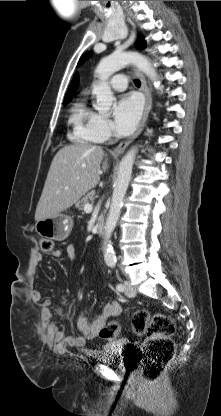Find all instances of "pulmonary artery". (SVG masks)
Segmentation results:
<instances>
[{
  "label": "pulmonary artery",
  "mask_w": 221,
  "mask_h": 416,
  "mask_svg": "<svg viewBox=\"0 0 221 416\" xmlns=\"http://www.w3.org/2000/svg\"><path fill=\"white\" fill-rule=\"evenodd\" d=\"M109 85L114 91H123L127 86V78L122 74L116 75L111 79Z\"/></svg>",
  "instance_id": "pulmonary-artery-1"
}]
</instances>
